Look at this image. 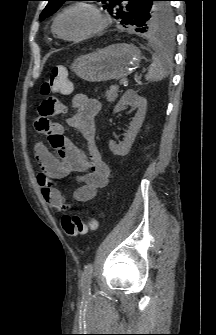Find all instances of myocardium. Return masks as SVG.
Returning a JSON list of instances; mask_svg holds the SVG:
<instances>
[{
	"mask_svg": "<svg viewBox=\"0 0 216 335\" xmlns=\"http://www.w3.org/2000/svg\"><path fill=\"white\" fill-rule=\"evenodd\" d=\"M73 9H84L88 12H90L95 20L96 23L95 25L89 29L88 31L78 35V36H73V37H67L64 36L58 29V23L60 18L68 11L73 10ZM108 26V19L106 16L103 14V12L95 5L85 3V2H77L70 4L66 6L64 9H62L55 17L54 22H53V31L54 33L61 39L66 40V41H80L87 39L89 37H92L103 30H105Z\"/></svg>",
	"mask_w": 216,
	"mask_h": 335,
	"instance_id": "myocardium-1",
	"label": "myocardium"
}]
</instances>
